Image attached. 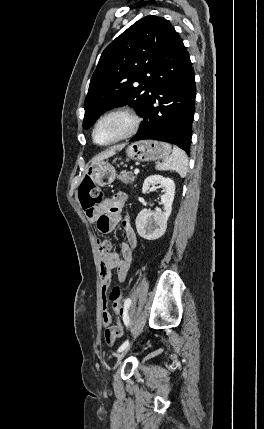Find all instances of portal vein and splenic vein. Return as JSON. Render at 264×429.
Returning <instances> with one entry per match:
<instances>
[{
	"instance_id": "obj_1",
	"label": "portal vein and splenic vein",
	"mask_w": 264,
	"mask_h": 429,
	"mask_svg": "<svg viewBox=\"0 0 264 429\" xmlns=\"http://www.w3.org/2000/svg\"><path fill=\"white\" fill-rule=\"evenodd\" d=\"M139 172H140V171H139V169H135V170H134V174H135V175L139 174Z\"/></svg>"
}]
</instances>
